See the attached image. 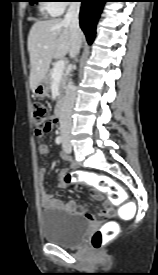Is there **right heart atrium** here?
I'll return each mask as SVG.
<instances>
[{"mask_svg":"<svg viewBox=\"0 0 158 275\" xmlns=\"http://www.w3.org/2000/svg\"><path fill=\"white\" fill-rule=\"evenodd\" d=\"M75 0H54L52 2L54 3H48L50 4V11L56 14H60L64 11L66 6L69 5L68 2H74Z\"/></svg>","mask_w":158,"mask_h":275,"instance_id":"d8ad5b80","label":"right heart atrium"}]
</instances>
